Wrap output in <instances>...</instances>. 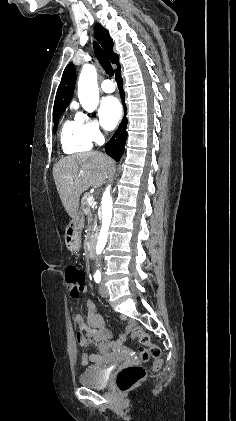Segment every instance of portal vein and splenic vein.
Returning <instances> with one entry per match:
<instances>
[{"mask_svg":"<svg viewBox=\"0 0 236 421\" xmlns=\"http://www.w3.org/2000/svg\"><path fill=\"white\" fill-rule=\"evenodd\" d=\"M71 180H72V178H71ZM88 204H89V206H92V204H93V202H92V196H89V198H88Z\"/></svg>","mask_w":236,"mask_h":421,"instance_id":"obj_1","label":"portal vein and splenic vein"}]
</instances>
